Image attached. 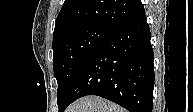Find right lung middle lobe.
I'll return each mask as SVG.
<instances>
[{
	"instance_id": "right-lung-middle-lobe-1",
	"label": "right lung middle lobe",
	"mask_w": 193,
	"mask_h": 112,
	"mask_svg": "<svg viewBox=\"0 0 193 112\" xmlns=\"http://www.w3.org/2000/svg\"><path fill=\"white\" fill-rule=\"evenodd\" d=\"M113 30L95 24L76 25L53 37V69L58 82L57 104L60 109L85 60Z\"/></svg>"
}]
</instances>
